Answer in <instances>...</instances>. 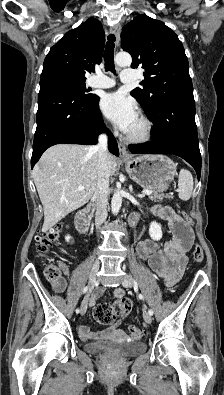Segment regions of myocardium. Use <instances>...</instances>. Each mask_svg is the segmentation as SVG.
<instances>
[{"instance_id":"f54148a6","label":"myocardium","mask_w":224,"mask_h":395,"mask_svg":"<svg viewBox=\"0 0 224 395\" xmlns=\"http://www.w3.org/2000/svg\"><path fill=\"white\" fill-rule=\"evenodd\" d=\"M138 121L140 123L139 130L133 133H126L125 139L134 144H142L151 140L153 136V124L152 122L144 115H140L138 117Z\"/></svg>"}]
</instances>
